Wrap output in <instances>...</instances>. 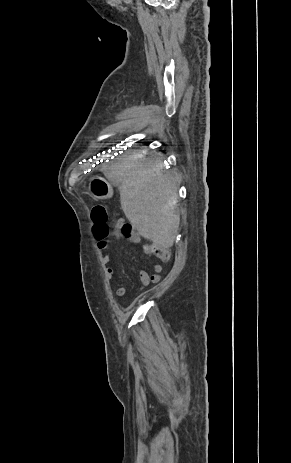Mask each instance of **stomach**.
<instances>
[{"mask_svg":"<svg viewBox=\"0 0 291 463\" xmlns=\"http://www.w3.org/2000/svg\"><path fill=\"white\" fill-rule=\"evenodd\" d=\"M90 192L96 199H106L112 196V187L103 178H93L90 183Z\"/></svg>","mask_w":291,"mask_h":463,"instance_id":"obj_1","label":"stomach"}]
</instances>
